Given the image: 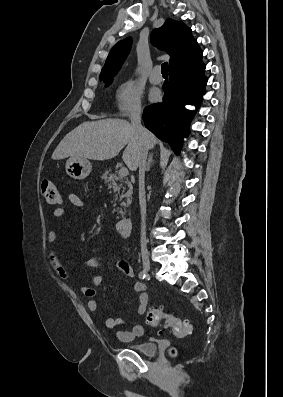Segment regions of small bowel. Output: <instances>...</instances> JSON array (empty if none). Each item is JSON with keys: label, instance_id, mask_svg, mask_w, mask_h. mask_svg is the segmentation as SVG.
Segmentation results:
<instances>
[{"label": "small bowel", "instance_id": "1", "mask_svg": "<svg viewBox=\"0 0 283 397\" xmlns=\"http://www.w3.org/2000/svg\"><path fill=\"white\" fill-rule=\"evenodd\" d=\"M68 200L73 206L77 208L84 207V202L82 198L76 193H69ZM65 214H66V210L63 207L55 208L52 212L53 217L57 219L62 218ZM58 235H59V229L53 228L47 234V241L50 243L55 242L58 238ZM48 260L53 271L61 279L66 280L70 277L68 270L62 264V262L60 261L57 255V252L54 249H51L48 252ZM101 261L102 260L99 257H90L85 261V266L87 268L99 270L98 274L91 277L90 279L91 286H82L80 288L82 294L89 298L88 308L91 312H95L97 310V303L93 299V297L96 295V290L94 287L100 285L104 279V275L100 271L102 267ZM109 265L115 266L119 271H121L124 275H126L129 278H133L134 276V271L132 266L124 260H114L110 262ZM145 289H146L145 285L139 281L134 282L132 285V291L138 293L137 312L140 315H142L146 311L148 304V294L146 293ZM103 323L104 326L108 329H118L116 332L117 338L123 342H130L138 337H141L144 334V326L142 324H135L132 327V329L129 331L121 330L120 327L123 325L124 322L120 318L106 317Z\"/></svg>", "mask_w": 283, "mask_h": 397}]
</instances>
